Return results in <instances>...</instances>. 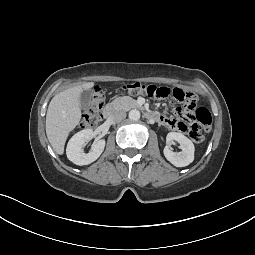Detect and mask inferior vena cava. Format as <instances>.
<instances>
[{
  "label": "inferior vena cava",
  "mask_w": 255,
  "mask_h": 255,
  "mask_svg": "<svg viewBox=\"0 0 255 255\" xmlns=\"http://www.w3.org/2000/svg\"><path fill=\"white\" fill-rule=\"evenodd\" d=\"M126 118V112L125 111H121V110H117L114 111L110 116H109V120L113 123L116 122H120L121 120Z\"/></svg>",
  "instance_id": "1"
}]
</instances>
